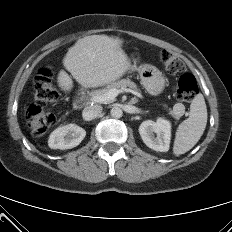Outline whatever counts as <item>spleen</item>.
<instances>
[{
	"label": "spleen",
	"instance_id": "spleen-1",
	"mask_svg": "<svg viewBox=\"0 0 232 232\" xmlns=\"http://www.w3.org/2000/svg\"><path fill=\"white\" fill-rule=\"evenodd\" d=\"M207 124V108L202 94H198L190 105L189 117L179 124L173 153L178 156L186 153L199 141Z\"/></svg>",
	"mask_w": 232,
	"mask_h": 232
}]
</instances>
